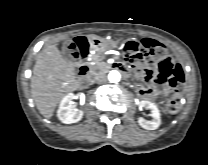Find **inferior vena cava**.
Segmentation results:
<instances>
[{
	"label": "inferior vena cava",
	"mask_w": 208,
	"mask_h": 165,
	"mask_svg": "<svg viewBox=\"0 0 208 165\" xmlns=\"http://www.w3.org/2000/svg\"><path fill=\"white\" fill-rule=\"evenodd\" d=\"M96 82H97L98 84L106 83V82H107V77H106L105 75H103V74L98 75V76L96 77Z\"/></svg>",
	"instance_id": "inferior-vena-cava-1"
}]
</instances>
